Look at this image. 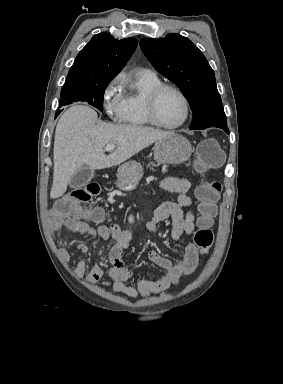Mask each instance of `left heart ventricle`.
Wrapping results in <instances>:
<instances>
[{
	"mask_svg": "<svg viewBox=\"0 0 283 384\" xmlns=\"http://www.w3.org/2000/svg\"><path fill=\"white\" fill-rule=\"evenodd\" d=\"M155 115L163 125H174L180 122L184 116V105L180 97L170 91H164L156 101Z\"/></svg>",
	"mask_w": 283,
	"mask_h": 384,
	"instance_id": "1",
	"label": "left heart ventricle"
}]
</instances>
